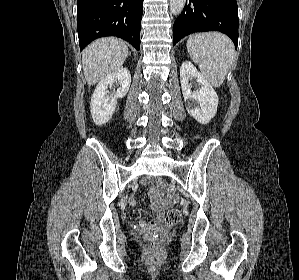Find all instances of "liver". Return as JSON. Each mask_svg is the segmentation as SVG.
I'll return each mask as SVG.
<instances>
[{
	"label": "liver",
	"instance_id": "liver-1",
	"mask_svg": "<svg viewBox=\"0 0 299 280\" xmlns=\"http://www.w3.org/2000/svg\"><path fill=\"white\" fill-rule=\"evenodd\" d=\"M129 55L127 45L116 38H102L91 43L82 53V66L88 85H94L120 69Z\"/></svg>",
	"mask_w": 299,
	"mask_h": 280
}]
</instances>
